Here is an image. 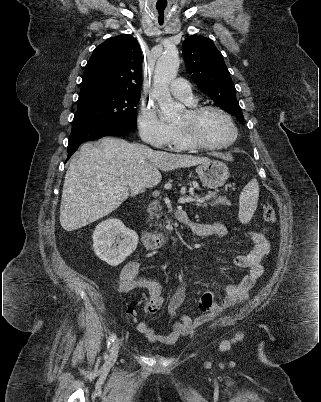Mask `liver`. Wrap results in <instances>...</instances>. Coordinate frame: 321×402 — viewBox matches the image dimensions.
I'll return each instance as SVG.
<instances>
[{
    "label": "liver",
    "mask_w": 321,
    "mask_h": 402,
    "mask_svg": "<svg viewBox=\"0 0 321 402\" xmlns=\"http://www.w3.org/2000/svg\"><path fill=\"white\" fill-rule=\"evenodd\" d=\"M207 161L208 158L156 151L114 137H104L98 146L85 143L65 175L61 226L73 231L110 214L129 196L160 183L159 169L170 171ZM120 187L126 190L113 191Z\"/></svg>",
    "instance_id": "liver-1"
}]
</instances>
